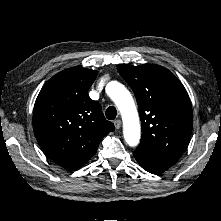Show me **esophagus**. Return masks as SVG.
I'll list each match as a JSON object with an SVG mask.
<instances>
[{
	"label": "esophagus",
	"instance_id": "obj_1",
	"mask_svg": "<svg viewBox=\"0 0 221 221\" xmlns=\"http://www.w3.org/2000/svg\"><path fill=\"white\" fill-rule=\"evenodd\" d=\"M115 128L118 130L121 127V120L117 119L114 121Z\"/></svg>",
	"mask_w": 221,
	"mask_h": 221
}]
</instances>
